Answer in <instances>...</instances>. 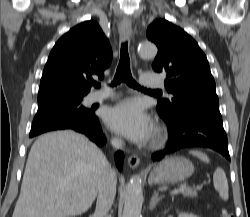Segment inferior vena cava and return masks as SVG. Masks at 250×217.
<instances>
[{"mask_svg":"<svg viewBox=\"0 0 250 217\" xmlns=\"http://www.w3.org/2000/svg\"><path fill=\"white\" fill-rule=\"evenodd\" d=\"M111 143L115 149H121L124 145V142L119 138L113 139ZM116 183L117 178L114 170L108 168L101 179L98 189L94 217H108V212L116 194Z\"/></svg>","mask_w":250,"mask_h":217,"instance_id":"602c4592","label":"inferior vena cava"}]
</instances>
